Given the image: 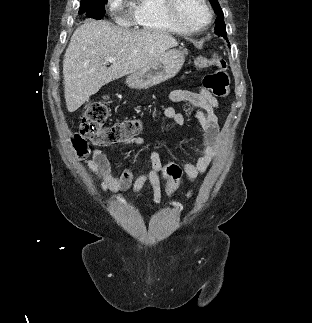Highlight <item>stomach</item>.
<instances>
[{"mask_svg": "<svg viewBox=\"0 0 312 323\" xmlns=\"http://www.w3.org/2000/svg\"><path fill=\"white\" fill-rule=\"evenodd\" d=\"M187 54L186 50H177V48L166 50L162 56L142 70L129 74L126 78L127 86L135 90H145L160 82H166L169 78H174L180 72Z\"/></svg>", "mask_w": 312, "mask_h": 323, "instance_id": "0dacf381", "label": "stomach"}]
</instances>
